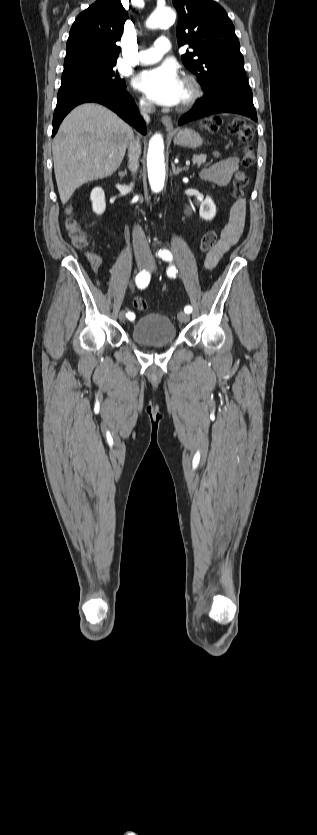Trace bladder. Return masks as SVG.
I'll return each instance as SVG.
<instances>
[{"label": "bladder", "instance_id": "1", "mask_svg": "<svg viewBox=\"0 0 317 835\" xmlns=\"http://www.w3.org/2000/svg\"><path fill=\"white\" fill-rule=\"evenodd\" d=\"M132 339L143 346L170 344L177 338L176 327L167 316L150 313L139 318L131 331Z\"/></svg>", "mask_w": 317, "mask_h": 835}]
</instances>
